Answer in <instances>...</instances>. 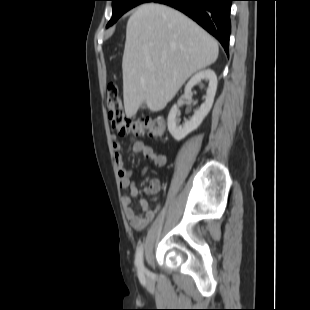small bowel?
<instances>
[{"mask_svg": "<svg viewBox=\"0 0 310 310\" xmlns=\"http://www.w3.org/2000/svg\"><path fill=\"white\" fill-rule=\"evenodd\" d=\"M132 144L134 152L150 159L155 166L162 167L166 164V155L156 152L150 145L135 138L132 139ZM112 148L118 167L120 187L128 191L121 197L125 217L132 228L141 231L155 218L157 208L155 210H150L148 208V203L145 200H140L138 203V208L141 210L140 212H137L136 209L132 207L133 199L138 196L139 191L135 181L132 179V171L124 166L121 154V144L117 136L112 137ZM149 170L150 167L145 166L141 169L140 174L144 176ZM157 190L158 186H155V192Z\"/></svg>", "mask_w": 310, "mask_h": 310, "instance_id": "obj_1", "label": "small bowel"}]
</instances>
